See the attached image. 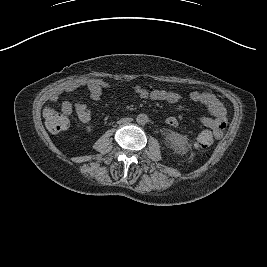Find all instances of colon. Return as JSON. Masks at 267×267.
<instances>
[{
  "label": "colon",
  "instance_id": "obj_1",
  "mask_svg": "<svg viewBox=\"0 0 267 267\" xmlns=\"http://www.w3.org/2000/svg\"><path fill=\"white\" fill-rule=\"evenodd\" d=\"M45 123L49 131L59 133L67 129L69 122L66 116L55 111L51 107L44 109ZM194 146L201 152H206L211 144L207 137L198 134L194 141Z\"/></svg>",
  "mask_w": 267,
  "mask_h": 267
}]
</instances>
